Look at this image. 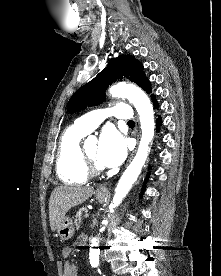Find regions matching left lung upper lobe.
<instances>
[{
	"mask_svg": "<svg viewBox=\"0 0 221 276\" xmlns=\"http://www.w3.org/2000/svg\"><path fill=\"white\" fill-rule=\"evenodd\" d=\"M128 79L151 93L149 80L145 77L142 64L131 55H120L109 61L107 67L93 80L81 87L68 102L69 112H78L102 103L105 100V90L113 82Z\"/></svg>",
	"mask_w": 221,
	"mask_h": 276,
	"instance_id": "1",
	"label": "left lung upper lobe"
}]
</instances>
